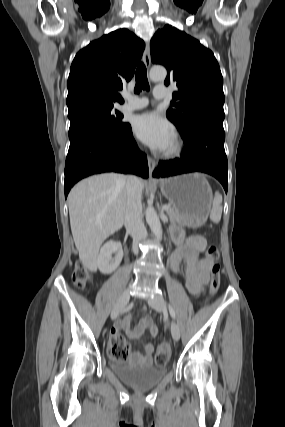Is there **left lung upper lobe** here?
<instances>
[{
    "mask_svg": "<svg viewBox=\"0 0 285 427\" xmlns=\"http://www.w3.org/2000/svg\"><path fill=\"white\" fill-rule=\"evenodd\" d=\"M150 52L153 63L167 68L165 84H177L173 107L166 115L182 138L204 125L223 129V77L212 51L185 32L166 25L151 39Z\"/></svg>",
    "mask_w": 285,
    "mask_h": 427,
    "instance_id": "obj_1",
    "label": "left lung upper lobe"
}]
</instances>
